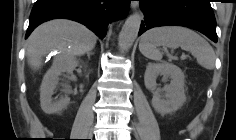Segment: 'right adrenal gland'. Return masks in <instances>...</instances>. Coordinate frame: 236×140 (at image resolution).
<instances>
[{
  "label": "right adrenal gland",
  "mask_w": 236,
  "mask_h": 140,
  "mask_svg": "<svg viewBox=\"0 0 236 140\" xmlns=\"http://www.w3.org/2000/svg\"><path fill=\"white\" fill-rule=\"evenodd\" d=\"M92 53H88L87 55H88V58L90 59V55H91Z\"/></svg>",
  "instance_id": "2a0ac1e0"
}]
</instances>
